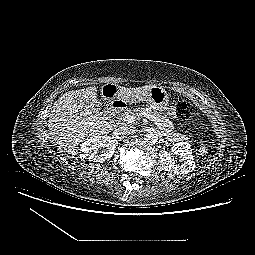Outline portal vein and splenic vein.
Here are the masks:
<instances>
[{"label":"portal vein and splenic vein","mask_w":255,"mask_h":255,"mask_svg":"<svg viewBox=\"0 0 255 255\" xmlns=\"http://www.w3.org/2000/svg\"><path fill=\"white\" fill-rule=\"evenodd\" d=\"M144 117H146V118L150 119L151 121H153L155 123V125H157V127L159 129H161V124L159 123V121L155 117H153L151 115H148V114H144ZM138 118H139V116L127 115L123 118V121L129 124V123H133Z\"/></svg>","instance_id":"18ae733b"}]
</instances>
